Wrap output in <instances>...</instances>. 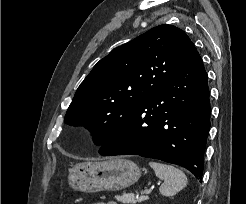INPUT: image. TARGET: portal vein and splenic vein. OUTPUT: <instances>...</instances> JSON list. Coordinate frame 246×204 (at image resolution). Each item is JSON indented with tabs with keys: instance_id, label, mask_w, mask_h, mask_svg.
I'll return each instance as SVG.
<instances>
[{
	"instance_id": "1",
	"label": "portal vein and splenic vein",
	"mask_w": 246,
	"mask_h": 204,
	"mask_svg": "<svg viewBox=\"0 0 246 204\" xmlns=\"http://www.w3.org/2000/svg\"><path fill=\"white\" fill-rule=\"evenodd\" d=\"M151 191H152V189H146V190L142 191L141 194H146V195H148V194L151 193ZM129 195H130V194H129Z\"/></svg>"
}]
</instances>
